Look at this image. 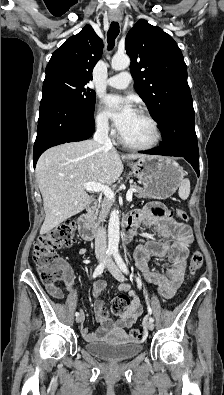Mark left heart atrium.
Masks as SVG:
<instances>
[{
	"mask_svg": "<svg viewBox=\"0 0 224 395\" xmlns=\"http://www.w3.org/2000/svg\"><path fill=\"white\" fill-rule=\"evenodd\" d=\"M104 105L119 131L125 128L136 113L131 101L118 95H107L104 98Z\"/></svg>",
	"mask_w": 224,
	"mask_h": 395,
	"instance_id": "left-heart-atrium-1",
	"label": "left heart atrium"
}]
</instances>
